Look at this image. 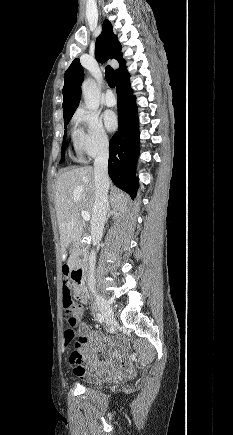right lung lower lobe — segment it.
Masks as SVG:
<instances>
[{"instance_id":"obj_1","label":"right lung lower lobe","mask_w":233,"mask_h":435,"mask_svg":"<svg viewBox=\"0 0 233 435\" xmlns=\"http://www.w3.org/2000/svg\"><path fill=\"white\" fill-rule=\"evenodd\" d=\"M129 77L127 74L117 80L119 126L118 132L110 140L108 173L117 187L134 198L139 186L135 176L139 154V124Z\"/></svg>"}]
</instances>
